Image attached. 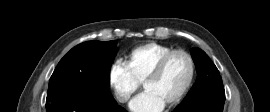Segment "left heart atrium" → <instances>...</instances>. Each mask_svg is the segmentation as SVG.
<instances>
[{
    "label": "left heart atrium",
    "instance_id": "1",
    "mask_svg": "<svg viewBox=\"0 0 270 112\" xmlns=\"http://www.w3.org/2000/svg\"><path fill=\"white\" fill-rule=\"evenodd\" d=\"M165 106L161 99L148 91L132 100L129 105L133 112H162Z\"/></svg>",
    "mask_w": 270,
    "mask_h": 112
}]
</instances>
